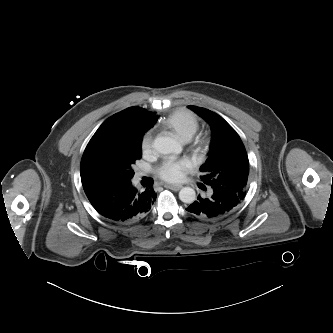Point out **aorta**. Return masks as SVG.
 I'll return each mask as SVG.
<instances>
[{"label": "aorta", "mask_w": 333, "mask_h": 333, "mask_svg": "<svg viewBox=\"0 0 333 333\" xmlns=\"http://www.w3.org/2000/svg\"><path fill=\"white\" fill-rule=\"evenodd\" d=\"M153 146L161 154H179L182 151V146L170 137H157ZM179 199L184 203L191 204L196 199V192L191 187H183L179 192Z\"/></svg>", "instance_id": "aorta-1"}]
</instances>
